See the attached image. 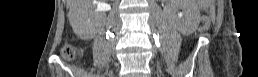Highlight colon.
<instances>
[{"instance_id": "colon-1", "label": "colon", "mask_w": 258, "mask_h": 77, "mask_svg": "<svg viewBox=\"0 0 258 77\" xmlns=\"http://www.w3.org/2000/svg\"><path fill=\"white\" fill-rule=\"evenodd\" d=\"M62 54L65 58H68V59L73 58L75 55L74 48L67 45V46L63 47Z\"/></svg>"}]
</instances>
